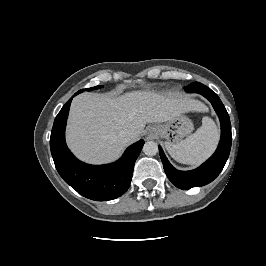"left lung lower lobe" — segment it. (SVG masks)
<instances>
[{
  "label": "left lung lower lobe",
  "instance_id": "obj_1",
  "mask_svg": "<svg viewBox=\"0 0 266 266\" xmlns=\"http://www.w3.org/2000/svg\"><path fill=\"white\" fill-rule=\"evenodd\" d=\"M186 92H196L206 97L214 107L221 123V139L215 153L200 167L191 171L176 170L159 146L160 157L169 180L178 188L188 190L212 182L222 171L230 153L232 135L229 115L218 95L207 86L194 82L184 88Z\"/></svg>",
  "mask_w": 266,
  "mask_h": 266
}]
</instances>
